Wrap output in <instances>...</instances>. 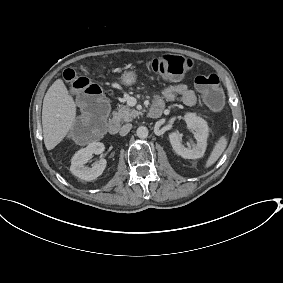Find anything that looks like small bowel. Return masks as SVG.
Instances as JSON below:
<instances>
[{
  "mask_svg": "<svg viewBox=\"0 0 283 283\" xmlns=\"http://www.w3.org/2000/svg\"><path fill=\"white\" fill-rule=\"evenodd\" d=\"M163 98L168 101H174L176 98H180L181 101L188 106H193L197 102L195 92L186 84H174L164 88L162 92ZM154 104L163 106V99L157 97Z\"/></svg>",
  "mask_w": 283,
  "mask_h": 283,
  "instance_id": "obj_1",
  "label": "small bowel"
}]
</instances>
